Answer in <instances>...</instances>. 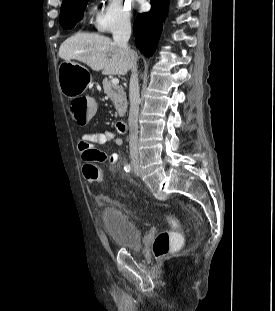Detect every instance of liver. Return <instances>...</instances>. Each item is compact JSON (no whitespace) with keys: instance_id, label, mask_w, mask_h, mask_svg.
<instances>
[{"instance_id":"liver-1","label":"liver","mask_w":275,"mask_h":311,"mask_svg":"<svg viewBox=\"0 0 275 311\" xmlns=\"http://www.w3.org/2000/svg\"><path fill=\"white\" fill-rule=\"evenodd\" d=\"M58 54L65 61L78 60L104 75L124 76L137 61L135 51L128 53L110 38L95 33H77L67 38Z\"/></svg>"}]
</instances>
